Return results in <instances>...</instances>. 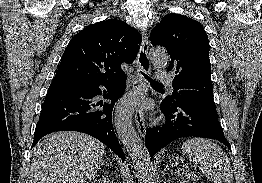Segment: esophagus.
Wrapping results in <instances>:
<instances>
[{
  "label": "esophagus",
  "instance_id": "esophagus-1",
  "mask_svg": "<svg viewBox=\"0 0 262 183\" xmlns=\"http://www.w3.org/2000/svg\"><path fill=\"white\" fill-rule=\"evenodd\" d=\"M137 65L139 70L143 71L146 74L150 73L151 64L148 55V37L144 30L142 31V43H141L140 52L138 54ZM132 86L134 89L141 90L140 98L135 111V123L140 135L145 136L146 124H145V117H144L143 102L148 94V89L146 88L143 82L142 75L138 70H136L132 75Z\"/></svg>",
  "mask_w": 262,
  "mask_h": 183
}]
</instances>
